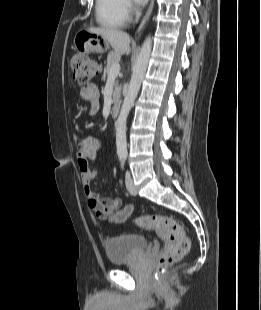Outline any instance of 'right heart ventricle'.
Here are the masks:
<instances>
[{"label":"right heart ventricle","instance_id":"obj_1","mask_svg":"<svg viewBox=\"0 0 261 310\" xmlns=\"http://www.w3.org/2000/svg\"><path fill=\"white\" fill-rule=\"evenodd\" d=\"M123 0H95V18L97 23L108 29L122 28L128 18L123 11Z\"/></svg>","mask_w":261,"mask_h":310}]
</instances>
